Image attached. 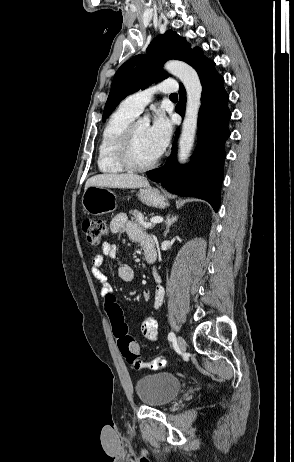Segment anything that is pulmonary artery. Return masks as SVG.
I'll return each instance as SVG.
<instances>
[{"label": "pulmonary artery", "instance_id": "1", "mask_svg": "<svg viewBox=\"0 0 294 462\" xmlns=\"http://www.w3.org/2000/svg\"><path fill=\"white\" fill-rule=\"evenodd\" d=\"M177 90V86L172 79H166L157 85H153L147 89L137 91L122 101V106L135 115L140 114L146 105H148L155 94H171Z\"/></svg>", "mask_w": 294, "mask_h": 462}]
</instances>
